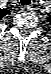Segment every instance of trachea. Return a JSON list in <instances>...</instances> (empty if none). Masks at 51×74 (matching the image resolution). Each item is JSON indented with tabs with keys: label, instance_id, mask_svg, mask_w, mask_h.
I'll use <instances>...</instances> for the list:
<instances>
[{
	"label": "trachea",
	"instance_id": "3493384b",
	"mask_svg": "<svg viewBox=\"0 0 51 74\" xmlns=\"http://www.w3.org/2000/svg\"><path fill=\"white\" fill-rule=\"evenodd\" d=\"M22 5H26V4H29V3H26L25 1H21Z\"/></svg>",
	"mask_w": 51,
	"mask_h": 74
}]
</instances>
